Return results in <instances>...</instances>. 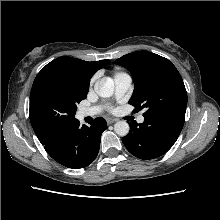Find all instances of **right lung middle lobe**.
Wrapping results in <instances>:
<instances>
[{
	"label": "right lung middle lobe",
	"mask_w": 220,
	"mask_h": 220,
	"mask_svg": "<svg viewBox=\"0 0 220 220\" xmlns=\"http://www.w3.org/2000/svg\"><path fill=\"white\" fill-rule=\"evenodd\" d=\"M88 88L65 72L39 73L30 93V121L35 132L55 135L74 120L77 104Z\"/></svg>",
	"instance_id": "obj_1"
}]
</instances>
